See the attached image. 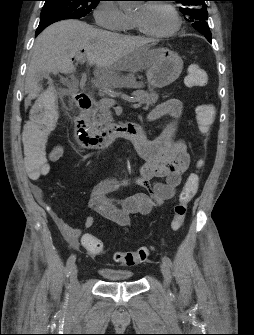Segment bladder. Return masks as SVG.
Segmentation results:
<instances>
[{
    "label": "bladder",
    "mask_w": 254,
    "mask_h": 335,
    "mask_svg": "<svg viewBox=\"0 0 254 335\" xmlns=\"http://www.w3.org/2000/svg\"><path fill=\"white\" fill-rule=\"evenodd\" d=\"M99 274L107 282L131 281L133 280V272L124 269H116L110 267H102Z\"/></svg>",
    "instance_id": "obj_1"
}]
</instances>
